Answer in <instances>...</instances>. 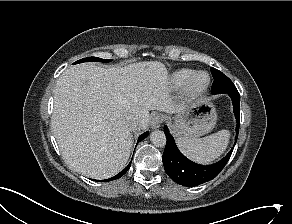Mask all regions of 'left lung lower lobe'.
Returning <instances> with one entry per match:
<instances>
[{
    "instance_id": "left-lung-lower-lobe-1",
    "label": "left lung lower lobe",
    "mask_w": 292,
    "mask_h": 224,
    "mask_svg": "<svg viewBox=\"0 0 292 224\" xmlns=\"http://www.w3.org/2000/svg\"><path fill=\"white\" fill-rule=\"evenodd\" d=\"M233 102V109L237 121L236 134L239 132L240 123V94L236 87L224 90ZM164 133L167 137V144L162 156L163 164L168 176L176 183L193 187L215 178L228 162L233 149L219 162L212 165H199L188 160L178 150L174 138L170 134L167 126L164 127ZM237 140V137H236Z\"/></svg>"
}]
</instances>
